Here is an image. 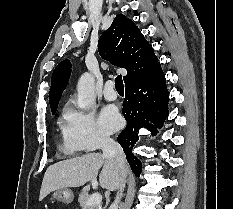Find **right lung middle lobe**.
Here are the masks:
<instances>
[{
    "label": "right lung middle lobe",
    "instance_id": "1",
    "mask_svg": "<svg viewBox=\"0 0 233 209\" xmlns=\"http://www.w3.org/2000/svg\"><path fill=\"white\" fill-rule=\"evenodd\" d=\"M55 112H56V110L52 111V114L54 115V114H55Z\"/></svg>",
    "mask_w": 233,
    "mask_h": 209
}]
</instances>
